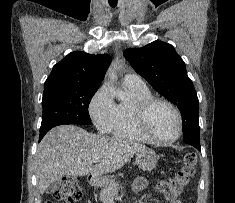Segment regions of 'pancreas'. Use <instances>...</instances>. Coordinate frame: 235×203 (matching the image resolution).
<instances>
[{
	"mask_svg": "<svg viewBox=\"0 0 235 203\" xmlns=\"http://www.w3.org/2000/svg\"><path fill=\"white\" fill-rule=\"evenodd\" d=\"M122 188L115 179L105 186L100 192V200L102 203H110V200L118 194L119 189Z\"/></svg>",
	"mask_w": 235,
	"mask_h": 203,
	"instance_id": "1",
	"label": "pancreas"
}]
</instances>
